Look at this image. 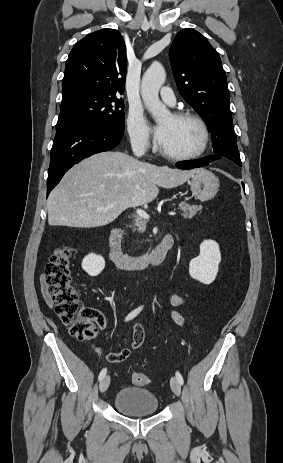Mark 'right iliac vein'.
Segmentation results:
<instances>
[{"label":"right iliac vein","instance_id":"obj_1","mask_svg":"<svg viewBox=\"0 0 283 463\" xmlns=\"http://www.w3.org/2000/svg\"><path fill=\"white\" fill-rule=\"evenodd\" d=\"M109 384H110V377H109V376H105V377L101 380L100 385H99L100 392H101V393L105 392V391L108 389Z\"/></svg>","mask_w":283,"mask_h":463}]
</instances>
